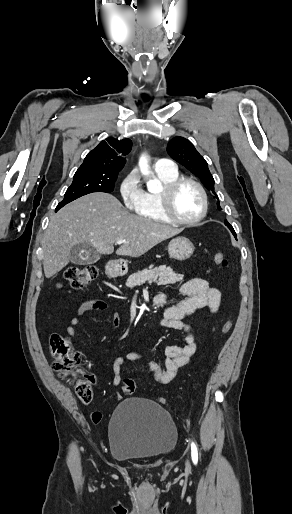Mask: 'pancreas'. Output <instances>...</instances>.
I'll list each match as a JSON object with an SVG mask.
<instances>
[{"label":"pancreas","instance_id":"obj_1","mask_svg":"<svg viewBox=\"0 0 292 514\" xmlns=\"http://www.w3.org/2000/svg\"><path fill=\"white\" fill-rule=\"evenodd\" d=\"M183 278L182 274H175L172 268H165V266L153 268V266H149L147 270L131 274L126 282V286L134 288V286H140V284H145V282H149V284L156 282L157 286H166V284L181 282Z\"/></svg>","mask_w":292,"mask_h":514}]
</instances>
